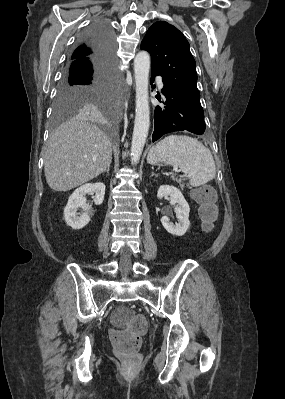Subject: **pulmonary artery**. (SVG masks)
Wrapping results in <instances>:
<instances>
[{
  "label": "pulmonary artery",
  "mask_w": 285,
  "mask_h": 399,
  "mask_svg": "<svg viewBox=\"0 0 285 399\" xmlns=\"http://www.w3.org/2000/svg\"><path fill=\"white\" fill-rule=\"evenodd\" d=\"M157 81H158V83H159V87L162 89V88H163V83H162L161 79L158 78Z\"/></svg>",
  "instance_id": "1"
}]
</instances>
